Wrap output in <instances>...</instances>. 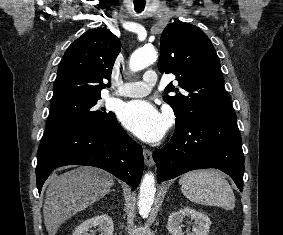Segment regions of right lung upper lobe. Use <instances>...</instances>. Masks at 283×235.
Here are the masks:
<instances>
[{"label":"right lung upper lobe","instance_id":"obj_1","mask_svg":"<svg viewBox=\"0 0 283 235\" xmlns=\"http://www.w3.org/2000/svg\"><path fill=\"white\" fill-rule=\"evenodd\" d=\"M121 43L110 30L90 29L66 50L54 84L52 103L72 97L101 96L103 80L111 73Z\"/></svg>","mask_w":283,"mask_h":235}]
</instances>
